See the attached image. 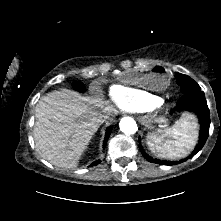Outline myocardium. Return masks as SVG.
Returning <instances> with one entry per match:
<instances>
[{
    "mask_svg": "<svg viewBox=\"0 0 221 221\" xmlns=\"http://www.w3.org/2000/svg\"><path fill=\"white\" fill-rule=\"evenodd\" d=\"M157 106H159V107H164V103H163V102H160Z\"/></svg>",
    "mask_w": 221,
    "mask_h": 221,
    "instance_id": "f54148a6",
    "label": "myocardium"
}]
</instances>
